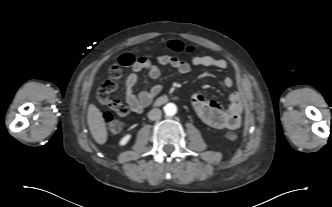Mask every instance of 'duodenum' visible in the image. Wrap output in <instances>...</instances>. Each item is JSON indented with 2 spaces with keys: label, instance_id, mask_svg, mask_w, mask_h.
Wrapping results in <instances>:
<instances>
[{
  "label": "duodenum",
  "instance_id": "410a0bca",
  "mask_svg": "<svg viewBox=\"0 0 332 207\" xmlns=\"http://www.w3.org/2000/svg\"><path fill=\"white\" fill-rule=\"evenodd\" d=\"M167 101V97L166 96H160L157 100L156 103L157 104H163Z\"/></svg>",
  "mask_w": 332,
  "mask_h": 207
}]
</instances>
